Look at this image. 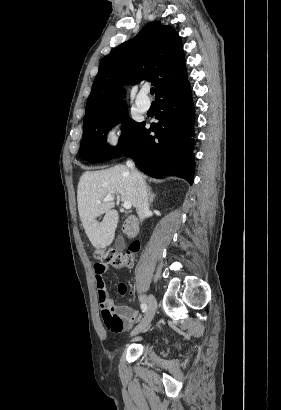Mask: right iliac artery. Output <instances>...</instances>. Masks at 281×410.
Listing matches in <instances>:
<instances>
[{"label":"right iliac artery","instance_id":"obj_1","mask_svg":"<svg viewBox=\"0 0 281 410\" xmlns=\"http://www.w3.org/2000/svg\"><path fill=\"white\" fill-rule=\"evenodd\" d=\"M147 308H148V307H147V304H146L145 302H142V303H141V309H142V311H143V312H146V311H147Z\"/></svg>","mask_w":281,"mask_h":410}]
</instances>
